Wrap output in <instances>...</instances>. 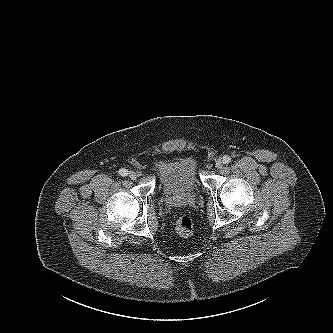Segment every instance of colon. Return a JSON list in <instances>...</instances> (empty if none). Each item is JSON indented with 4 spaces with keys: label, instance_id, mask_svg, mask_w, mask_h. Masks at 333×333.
Listing matches in <instances>:
<instances>
[{
    "label": "colon",
    "instance_id": "5ec220e1",
    "mask_svg": "<svg viewBox=\"0 0 333 333\" xmlns=\"http://www.w3.org/2000/svg\"><path fill=\"white\" fill-rule=\"evenodd\" d=\"M194 224L189 216H180L176 221V231L183 236H188L193 232Z\"/></svg>",
    "mask_w": 333,
    "mask_h": 333
}]
</instances>
